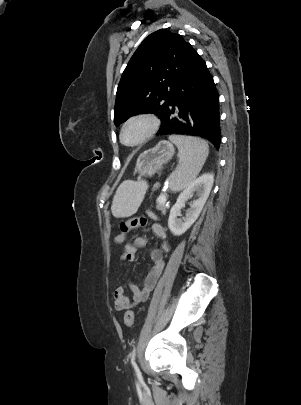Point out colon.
Masks as SVG:
<instances>
[{
	"instance_id": "obj_1",
	"label": "colon",
	"mask_w": 301,
	"mask_h": 405,
	"mask_svg": "<svg viewBox=\"0 0 301 405\" xmlns=\"http://www.w3.org/2000/svg\"><path fill=\"white\" fill-rule=\"evenodd\" d=\"M148 224V220L145 217H136L132 219H128L122 221L119 225L120 234H117L114 238V241L117 243L118 246H121L122 243L126 242L125 235L130 231L139 228V227H146ZM124 323L127 327H132L134 323V312L132 310H127L124 314Z\"/></svg>"
}]
</instances>
